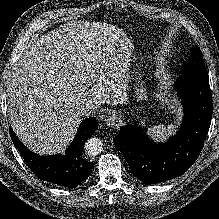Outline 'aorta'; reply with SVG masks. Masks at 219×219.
Segmentation results:
<instances>
[{
    "mask_svg": "<svg viewBox=\"0 0 219 219\" xmlns=\"http://www.w3.org/2000/svg\"><path fill=\"white\" fill-rule=\"evenodd\" d=\"M84 149L88 155L96 156L103 151L104 145L100 139L90 138L85 143Z\"/></svg>",
    "mask_w": 219,
    "mask_h": 219,
    "instance_id": "762f6f07",
    "label": "aorta"
}]
</instances>
